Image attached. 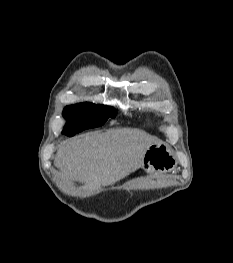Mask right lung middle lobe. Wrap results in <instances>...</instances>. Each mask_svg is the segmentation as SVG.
<instances>
[{"mask_svg":"<svg viewBox=\"0 0 233 263\" xmlns=\"http://www.w3.org/2000/svg\"><path fill=\"white\" fill-rule=\"evenodd\" d=\"M63 115L67 123L62 133L71 137L83 130L102 126L108 118L115 117V110L86 102L65 107Z\"/></svg>","mask_w":233,"mask_h":263,"instance_id":"1","label":"right lung middle lobe"}]
</instances>
